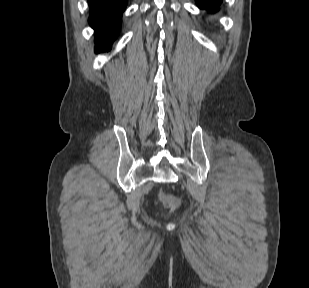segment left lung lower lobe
Listing matches in <instances>:
<instances>
[{
    "instance_id": "left-lung-lower-lobe-1",
    "label": "left lung lower lobe",
    "mask_w": 309,
    "mask_h": 288,
    "mask_svg": "<svg viewBox=\"0 0 309 288\" xmlns=\"http://www.w3.org/2000/svg\"><path fill=\"white\" fill-rule=\"evenodd\" d=\"M201 9H207L209 12H216L222 0H196Z\"/></svg>"
}]
</instances>
